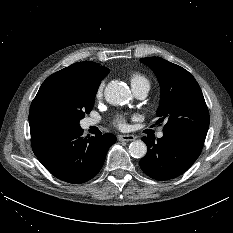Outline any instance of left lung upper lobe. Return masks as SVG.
<instances>
[{"label":"left lung upper lobe","mask_w":233,"mask_h":233,"mask_svg":"<svg viewBox=\"0 0 233 233\" xmlns=\"http://www.w3.org/2000/svg\"><path fill=\"white\" fill-rule=\"evenodd\" d=\"M157 76L161 87L158 123L166 121L163 131L198 129L208 131L209 112L195 78L184 68L160 57L140 59Z\"/></svg>","instance_id":"left-lung-upper-lobe-1"}]
</instances>
